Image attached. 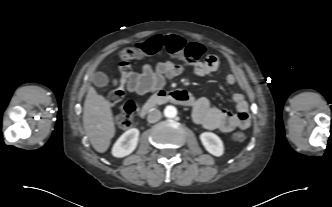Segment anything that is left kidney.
<instances>
[{
	"label": "left kidney",
	"mask_w": 332,
	"mask_h": 207,
	"mask_svg": "<svg viewBox=\"0 0 332 207\" xmlns=\"http://www.w3.org/2000/svg\"><path fill=\"white\" fill-rule=\"evenodd\" d=\"M200 140L204 148L212 155L219 157L224 153V145L222 140L212 132H204L200 134Z\"/></svg>",
	"instance_id": "obj_1"
}]
</instances>
